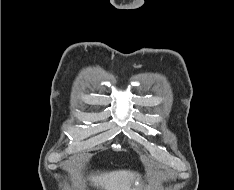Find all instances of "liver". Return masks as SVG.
I'll return each instance as SVG.
<instances>
[{
    "mask_svg": "<svg viewBox=\"0 0 234 190\" xmlns=\"http://www.w3.org/2000/svg\"><path fill=\"white\" fill-rule=\"evenodd\" d=\"M139 174L127 170H119L93 175L90 180L95 187L102 190H130L134 178Z\"/></svg>",
    "mask_w": 234,
    "mask_h": 190,
    "instance_id": "1",
    "label": "liver"
}]
</instances>
